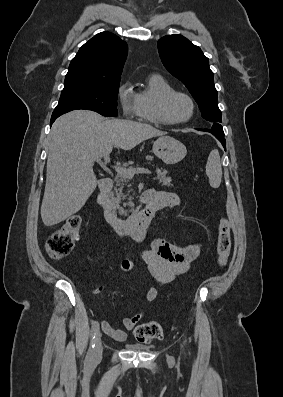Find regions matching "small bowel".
I'll list each match as a JSON object with an SVG mask.
<instances>
[{"label":"small bowel","mask_w":283,"mask_h":397,"mask_svg":"<svg viewBox=\"0 0 283 397\" xmlns=\"http://www.w3.org/2000/svg\"><path fill=\"white\" fill-rule=\"evenodd\" d=\"M159 209L167 207H178L180 199L177 194L161 190H149ZM145 237V231L133 235V238L141 242ZM200 253V243H192L184 247L175 246L163 239L154 240L150 247L142 252L148 272L157 283V286L149 287L145 292V299L153 302L158 297L159 286L173 281L176 277L186 273L191 263ZM122 272H130L135 268V263L131 258L124 259L119 266ZM101 289L92 290L94 295H98ZM143 313L139 312L123 319V329L114 328L109 322L102 321L101 328L105 334L116 341H125L126 331L132 330L141 320Z\"/></svg>","instance_id":"obj_1"}]
</instances>
